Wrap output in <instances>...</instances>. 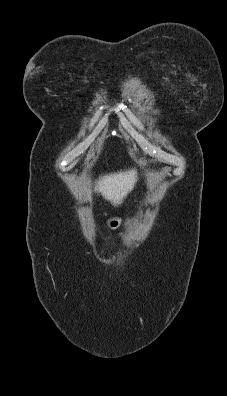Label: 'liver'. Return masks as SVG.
<instances>
[{"label": "liver", "mask_w": 227, "mask_h": 396, "mask_svg": "<svg viewBox=\"0 0 227 396\" xmlns=\"http://www.w3.org/2000/svg\"><path fill=\"white\" fill-rule=\"evenodd\" d=\"M137 181V171L129 170L101 177L95 186V192L101 195L114 206L120 205Z\"/></svg>", "instance_id": "obj_1"}]
</instances>
